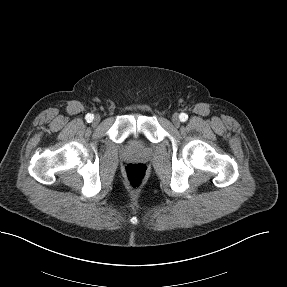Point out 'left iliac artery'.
Returning a JSON list of instances; mask_svg holds the SVG:
<instances>
[{"label": "left iliac artery", "mask_w": 287, "mask_h": 287, "mask_svg": "<svg viewBox=\"0 0 287 287\" xmlns=\"http://www.w3.org/2000/svg\"><path fill=\"white\" fill-rule=\"evenodd\" d=\"M179 118L182 122H185L188 119V115L186 113H181Z\"/></svg>", "instance_id": "44dca946"}]
</instances>
